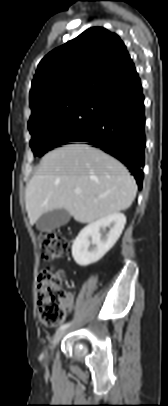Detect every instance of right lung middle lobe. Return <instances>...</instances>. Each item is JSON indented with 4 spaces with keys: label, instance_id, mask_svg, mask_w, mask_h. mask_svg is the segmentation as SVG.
<instances>
[{
    "label": "right lung middle lobe",
    "instance_id": "right-lung-middle-lobe-1",
    "mask_svg": "<svg viewBox=\"0 0 168 406\" xmlns=\"http://www.w3.org/2000/svg\"><path fill=\"white\" fill-rule=\"evenodd\" d=\"M101 109V99L84 100L29 123L30 146L34 155L42 156L81 135L98 120Z\"/></svg>",
    "mask_w": 168,
    "mask_h": 406
}]
</instances>
